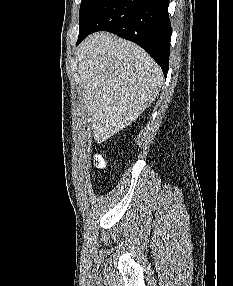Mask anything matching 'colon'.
<instances>
[{
	"label": "colon",
	"mask_w": 233,
	"mask_h": 286,
	"mask_svg": "<svg viewBox=\"0 0 233 286\" xmlns=\"http://www.w3.org/2000/svg\"><path fill=\"white\" fill-rule=\"evenodd\" d=\"M94 162L96 166L100 169H104L106 166V160L102 155H99V154L95 155Z\"/></svg>",
	"instance_id": "1"
}]
</instances>
